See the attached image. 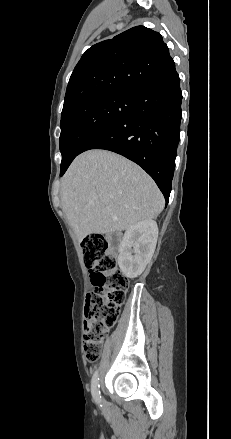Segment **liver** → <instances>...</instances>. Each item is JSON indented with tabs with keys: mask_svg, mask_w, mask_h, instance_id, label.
<instances>
[{
	"mask_svg": "<svg viewBox=\"0 0 231 439\" xmlns=\"http://www.w3.org/2000/svg\"><path fill=\"white\" fill-rule=\"evenodd\" d=\"M60 196L79 241L89 234L121 232L152 220L165 204L155 182L138 165L100 149L74 159L62 179Z\"/></svg>",
	"mask_w": 231,
	"mask_h": 439,
	"instance_id": "6515ba94",
	"label": "liver"
}]
</instances>
